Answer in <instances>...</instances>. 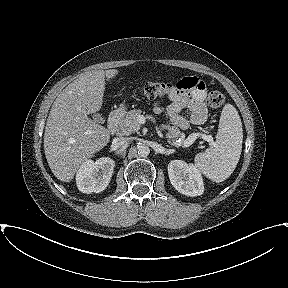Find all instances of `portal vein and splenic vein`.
Returning <instances> with one entry per match:
<instances>
[{
	"instance_id": "18ae733b",
	"label": "portal vein and splenic vein",
	"mask_w": 288,
	"mask_h": 288,
	"mask_svg": "<svg viewBox=\"0 0 288 288\" xmlns=\"http://www.w3.org/2000/svg\"><path fill=\"white\" fill-rule=\"evenodd\" d=\"M143 118V117H141ZM201 136L204 140L210 142L212 145H214L213 142V137L211 135H206V134H202V133H192L185 141H184V146L185 147H189L190 145H192L194 143V141Z\"/></svg>"
}]
</instances>
